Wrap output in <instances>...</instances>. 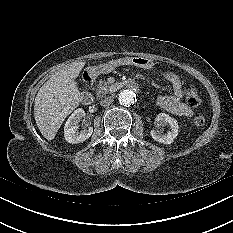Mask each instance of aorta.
<instances>
[{
    "mask_svg": "<svg viewBox=\"0 0 233 233\" xmlns=\"http://www.w3.org/2000/svg\"><path fill=\"white\" fill-rule=\"evenodd\" d=\"M139 96V89L135 86H129L119 93V102L122 105H133Z\"/></svg>",
    "mask_w": 233,
    "mask_h": 233,
    "instance_id": "obj_1",
    "label": "aorta"
}]
</instances>
